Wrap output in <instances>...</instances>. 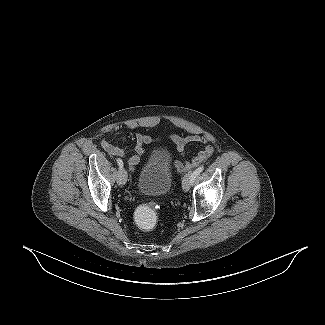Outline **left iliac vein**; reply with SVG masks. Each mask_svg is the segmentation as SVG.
<instances>
[{"mask_svg": "<svg viewBox=\"0 0 325 325\" xmlns=\"http://www.w3.org/2000/svg\"><path fill=\"white\" fill-rule=\"evenodd\" d=\"M192 174L193 173H187L183 180H182V188L185 192H187L190 189V186L192 184Z\"/></svg>", "mask_w": 325, "mask_h": 325, "instance_id": "obj_1", "label": "left iliac vein"}]
</instances>
